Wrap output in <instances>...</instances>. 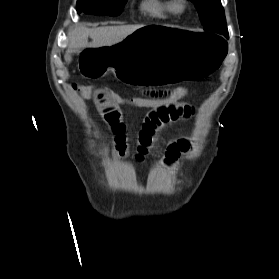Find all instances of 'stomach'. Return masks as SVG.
Wrapping results in <instances>:
<instances>
[{
  "mask_svg": "<svg viewBox=\"0 0 279 279\" xmlns=\"http://www.w3.org/2000/svg\"><path fill=\"white\" fill-rule=\"evenodd\" d=\"M224 34H208L176 25H137L118 44L80 50L76 69L86 82L117 75L137 91H163L179 82H213L229 55Z\"/></svg>",
  "mask_w": 279,
  "mask_h": 279,
  "instance_id": "0dacf381",
  "label": "stomach"
}]
</instances>
